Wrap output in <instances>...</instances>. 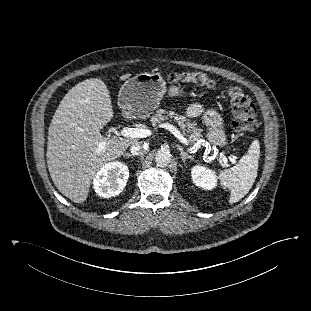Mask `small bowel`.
<instances>
[{"instance_id": "small-bowel-1", "label": "small bowel", "mask_w": 311, "mask_h": 311, "mask_svg": "<svg viewBox=\"0 0 311 311\" xmlns=\"http://www.w3.org/2000/svg\"><path fill=\"white\" fill-rule=\"evenodd\" d=\"M203 112V106L201 104H192L186 111V115L189 117H198Z\"/></svg>"}]
</instances>
